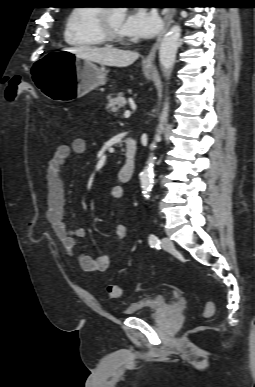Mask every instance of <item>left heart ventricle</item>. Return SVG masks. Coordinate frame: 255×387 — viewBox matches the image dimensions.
<instances>
[{"label":"left heart ventricle","instance_id":"left-heart-ventricle-1","mask_svg":"<svg viewBox=\"0 0 255 387\" xmlns=\"http://www.w3.org/2000/svg\"><path fill=\"white\" fill-rule=\"evenodd\" d=\"M124 19H125V14L122 10H119V9L111 10V13H110L111 25L116 32L122 35H124L122 31V25H123Z\"/></svg>","mask_w":255,"mask_h":387}]
</instances>
